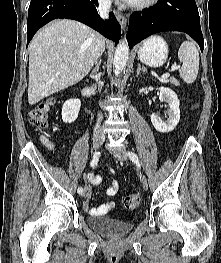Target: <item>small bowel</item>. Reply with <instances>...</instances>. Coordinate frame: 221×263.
Segmentation results:
<instances>
[{
    "label": "small bowel",
    "mask_w": 221,
    "mask_h": 263,
    "mask_svg": "<svg viewBox=\"0 0 221 263\" xmlns=\"http://www.w3.org/2000/svg\"><path fill=\"white\" fill-rule=\"evenodd\" d=\"M111 173L114 174V171L111 170ZM87 180L94 185L101 183V177L92 173L87 174ZM118 190V182L113 180L111 184L106 188V195L112 197L117 193ZM90 196V192H88V197ZM114 206V202L112 200L108 201L105 204H102L98 207H90L87 203L85 204V208L93 215H103L111 210Z\"/></svg>",
    "instance_id": "small-bowel-1"
}]
</instances>
